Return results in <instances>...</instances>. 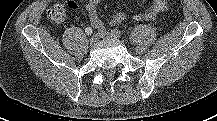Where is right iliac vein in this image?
I'll use <instances>...</instances> for the list:
<instances>
[{
	"mask_svg": "<svg viewBox=\"0 0 217 121\" xmlns=\"http://www.w3.org/2000/svg\"><path fill=\"white\" fill-rule=\"evenodd\" d=\"M90 45H96L97 42L99 41V36L98 35H94L90 38Z\"/></svg>",
	"mask_w": 217,
	"mask_h": 121,
	"instance_id": "obj_1",
	"label": "right iliac vein"
}]
</instances>
